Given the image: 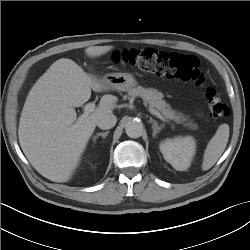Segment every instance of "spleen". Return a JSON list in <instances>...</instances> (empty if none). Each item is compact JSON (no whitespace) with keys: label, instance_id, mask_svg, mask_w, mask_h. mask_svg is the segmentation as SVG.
Returning a JSON list of instances; mask_svg holds the SVG:
<instances>
[{"label":"spleen","instance_id":"spleen-1","mask_svg":"<svg viewBox=\"0 0 250 250\" xmlns=\"http://www.w3.org/2000/svg\"><path fill=\"white\" fill-rule=\"evenodd\" d=\"M229 139V125L221 124L216 134L206 146L202 162V170H209L223 154Z\"/></svg>","mask_w":250,"mask_h":250}]
</instances>
